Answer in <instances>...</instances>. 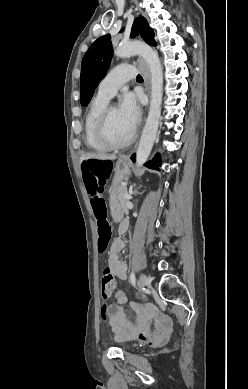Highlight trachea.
Returning a JSON list of instances; mask_svg holds the SVG:
<instances>
[{
	"mask_svg": "<svg viewBox=\"0 0 248 389\" xmlns=\"http://www.w3.org/2000/svg\"><path fill=\"white\" fill-rule=\"evenodd\" d=\"M136 80H143V78H142V76L141 75H137V77H136Z\"/></svg>",
	"mask_w": 248,
	"mask_h": 389,
	"instance_id": "3493384b",
	"label": "trachea"
}]
</instances>
